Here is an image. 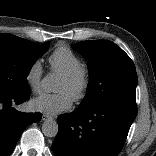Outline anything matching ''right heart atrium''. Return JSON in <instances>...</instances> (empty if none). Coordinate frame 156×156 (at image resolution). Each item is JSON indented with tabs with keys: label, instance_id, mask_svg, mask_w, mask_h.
<instances>
[{
	"label": "right heart atrium",
	"instance_id": "obj_1",
	"mask_svg": "<svg viewBox=\"0 0 156 156\" xmlns=\"http://www.w3.org/2000/svg\"><path fill=\"white\" fill-rule=\"evenodd\" d=\"M43 67L39 60H35L27 69L25 81L33 93H39L42 87Z\"/></svg>",
	"mask_w": 156,
	"mask_h": 156
}]
</instances>
